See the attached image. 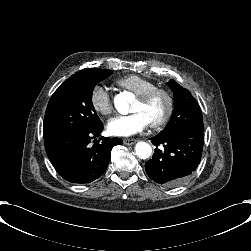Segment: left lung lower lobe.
Listing matches in <instances>:
<instances>
[{
  "instance_id": "0a47b994",
  "label": "left lung lower lobe",
  "mask_w": 251,
  "mask_h": 251,
  "mask_svg": "<svg viewBox=\"0 0 251 251\" xmlns=\"http://www.w3.org/2000/svg\"><path fill=\"white\" fill-rule=\"evenodd\" d=\"M204 131L184 130L171 135L151 138L156 148L152 159L145 163L147 175L158 184L177 186L197 168L201 160Z\"/></svg>"
}]
</instances>
